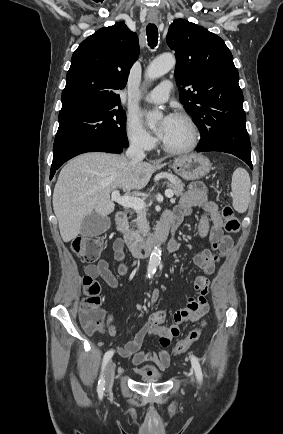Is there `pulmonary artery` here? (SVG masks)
I'll list each match as a JSON object with an SVG mask.
<instances>
[{
    "instance_id": "pulmonary-artery-1",
    "label": "pulmonary artery",
    "mask_w": 283,
    "mask_h": 434,
    "mask_svg": "<svg viewBox=\"0 0 283 434\" xmlns=\"http://www.w3.org/2000/svg\"><path fill=\"white\" fill-rule=\"evenodd\" d=\"M172 89V83L169 80L161 82L147 96L145 100L150 103H164L168 100Z\"/></svg>"
}]
</instances>
